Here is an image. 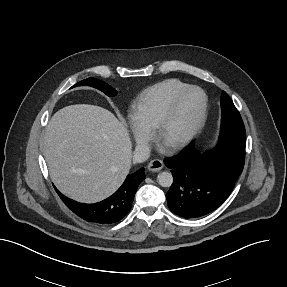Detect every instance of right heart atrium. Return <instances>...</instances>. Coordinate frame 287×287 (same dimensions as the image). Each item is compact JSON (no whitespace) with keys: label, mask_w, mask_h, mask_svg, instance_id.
Masks as SVG:
<instances>
[{"label":"right heart atrium","mask_w":287,"mask_h":287,"mask_svg":"<svg viewBox=\"0 0 287 287\" xmlns=\"http://www.w3.org/2000/svg\"><path fill=\"white\" fill-rule=\"evenodd\" d=\"M131 128L138 139H148L149 133L141 129L133 120L130 123Z\"/></svg>","instance_id":"d8ad5b80"}]
</instances>
